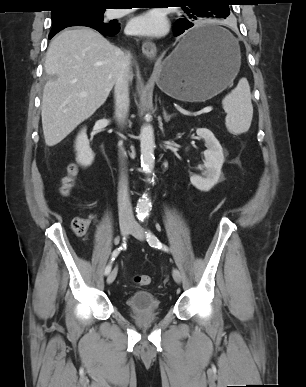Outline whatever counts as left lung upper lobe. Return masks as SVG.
Segmentation results:
<instances>
[{
	"label": "left lung upper lobe",
	"mask_w": 306,
	"mask_h": 387,
	"mask_svg": "<svg viewBox=\"0 0 306 387\" xmlns=\"http://www.w3.org/2000/svg\"><path fill=\"white\" fill-rule=\"evenodd\" d=\"M183 8L188 15L186 19L190 22L204 20L209 17L226 18L229 15L227 0H184Z\"/></svg>",
	"instance_id": "5c2ea615"
}]
</instances>
